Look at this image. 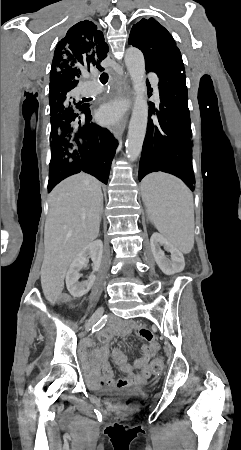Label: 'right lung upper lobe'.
<instances>
[{"label":"right lung upper lobe","instance_id":"cb5924a9","mask_svg":"<svg viewBox=\"0 0 241 450\" xmlns=\"http://www.w3.org/2000/svg\"><path fill=\"white\" fill-rule=\"evenodd\" d=\"M107 53L103 33L93 22L85 20L72 26L54 52L49 101L68 97L82 73L96 68L103 71L100 63Z\"/></svg>","mask_w":241,"mask_h":450}]
</instances>
